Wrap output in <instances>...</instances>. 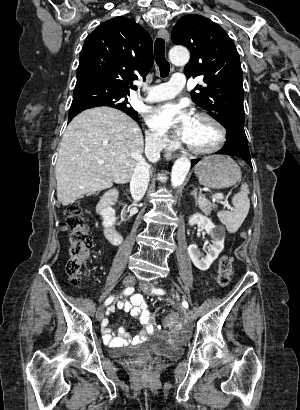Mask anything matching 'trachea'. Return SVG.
Segmentation results:
<instances>
[{
    "label": "trachea",
    "instance_id": "3493384b",
    "mask_svg": "<svg viewBox=\"0 0 300 410\" xmlns=\"http://www.w3.org/2000/svg\"><path fill=\"white\" fill-rule=\"evenodd\" d=\"M155 61L160 70L162 78L167 77L170 71V64L165 58V41L162 38H157L154 48Z\"/></svg>",
    "mask_w": 300,
    "mask_h": 410
}]
</instances>
